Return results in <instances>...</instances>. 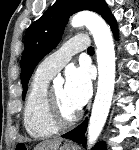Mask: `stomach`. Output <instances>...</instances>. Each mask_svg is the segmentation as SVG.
Wrapping results in <instances>:
<instances>
[{
  "label": "stomach",
  "mask_w": 139,
  "mask_h": 150,
  "mask_svg": "<svg viewBox=\"0 0 139 150\" xmlns=\"http://www.w3.org/2000/svg\"><path fill=\"white\" fill-rule=\"evenodd\" d=\"M60 150H74V149L71 148V147H68V146H62V147L60 148Z\"/></svg>",
  "instance_id": "stomach-1"
}]
</instances>
